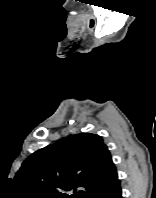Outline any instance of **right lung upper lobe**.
<instances>
[{"label": "right lung upper lobe", "instance_id": "right-lung-upper-lobe-1", "mask_svg": "<svg viewBox=\"0 0 156 198\" xmlns=\"http://www.w3.org/2000/svg\"><path fill=\"white\" fill-rule=\"evenodd\" d=\"M15 179L32 195L66 198H106L120 186L110 152L101 136L80 133L31 154Z\"/></svg>", "mask_w": 156, "mask_h": 198}]
</instances>
